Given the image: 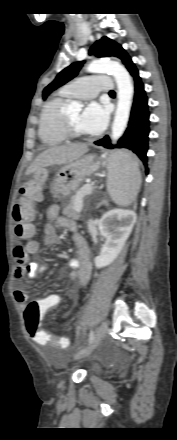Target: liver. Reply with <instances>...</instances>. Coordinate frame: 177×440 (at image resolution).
Segmentation results:
<instances>
[{
  "instance_id": "obj_1",
  "label": "liver",
  "mask_w": 177,
  "mask_h": 440,
  "mask_svg": "<svg viewBox=\"0 0 177 440\" xmlns=\"http://www.w3.org/2000/svg\"><path fill=\"white\" fill-rule=\"evenodd\" d=\"M89 150L86 144H70L53 147L40 153L26 170V175L34 173L40 168L51 165H66L81 158ZM122 164L118 158L110 168H116Z\"/></svg>"
}]
</instances>
